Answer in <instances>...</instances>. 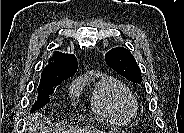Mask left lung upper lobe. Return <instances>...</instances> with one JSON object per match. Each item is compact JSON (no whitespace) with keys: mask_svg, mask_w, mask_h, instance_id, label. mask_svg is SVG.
<instances>
[{"mask_svg":"<svg viewBox=\"0 0 184 133\" xmlns=\"http://www.w3.org/2000/svg\"><path fill=\"white\" fill-rule=\"evenodd\" d=\"M107 65L133 83H141L142 76L131 52L123 47L111 49L105 55Z\"/></svg>","mask_w":184,"mask_h":133,"instance_id":"left-lung-upper-lobe-1","label":"left lung upper lobe"}]
</instances>
